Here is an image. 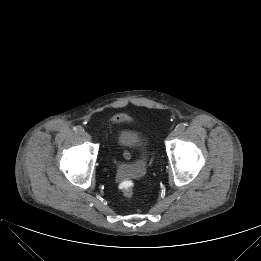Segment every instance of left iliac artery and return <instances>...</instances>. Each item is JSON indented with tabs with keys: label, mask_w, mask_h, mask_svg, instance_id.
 I'll return each instance as SVG.
<instances>
[{
	"label": "left iliac artery",
	"mask_w": 261,
	"mask_h": 261,
	"mask_svg": "<svg viewBox=\"0 0 261 261\" xmlns=\"http://www.w3.org/2000/svg\"><path fill=\"white\" fill-rule=\"evenodd\" d=\"M186 129V124L185 123H180V124H178L177 126H176V131L178 132V133H181V132H183L184 130Z\"/></svg>",
	"instance_id": "obj_1"
}]
</instances>
